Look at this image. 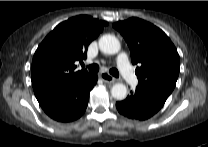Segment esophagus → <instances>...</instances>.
Masks as SVG:
<instances>
[{
	"label": "esophagus",
	"mask_w": 208,
	"mask_h": 147,
	"mask_svg": "<svg viewBox=\"0 0 208 147\" xmlns=\"http://www.w3.org/2000/svg\"><path fill=\"white\" fill-rule=\"evenodd\" d=\"M99 76L105 83L113 84L116 82V79L106 72H102Z\"/></svg>",
	"instance_id": "1"
}]
</instances>
